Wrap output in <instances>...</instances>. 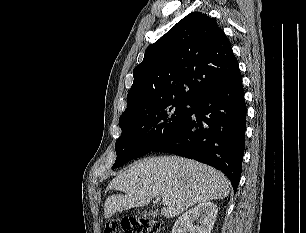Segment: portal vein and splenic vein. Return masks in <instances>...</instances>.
I'll return each mask as SVG.
<instances>
[{"mask_svg": "<svg viewBox=\"0 0 306 233\" xmlns=\"http://www.w3.org/2000/svg\"><path fill=\"white\" fill-rule=\"evenodd\" d=\"M161 199V197H157V200H160ZM163 203L164 204H167L168 203V200L166 199V198H163Z\"/></svg>", "mask_w": 306, "mask_h": 233, "instance_id": "obj_1", "label": "portal vein and splenic vein"}]
</instances>
